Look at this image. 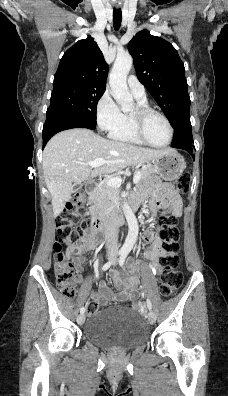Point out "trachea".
Returning a JSON list of instances; mask_svg holds the SVG:
<instances>
[{"label":"trachea","instance_id":"obj_1","mask_svg":"<svg viewBox=\"0 0 228 396\" xmlns=\"http://www.w3.org/2000/svg\"><path fill=\"white\" fill-rule=\"evenodd\" d=\"M122 12L121 9L114 8L113 11V26L115 30H119L121 26Z\"/></svg>","mask_w":228,"mask_h":396}]
</instances>
